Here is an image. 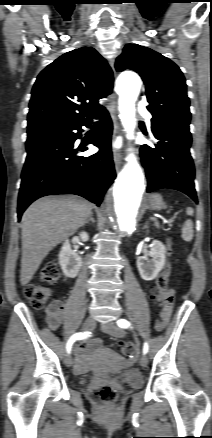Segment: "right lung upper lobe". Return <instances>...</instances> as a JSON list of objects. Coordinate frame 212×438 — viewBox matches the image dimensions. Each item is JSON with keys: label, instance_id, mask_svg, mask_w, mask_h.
Wrapping results in <instances>:
<instances>
[{"label": "right lung upper lobe", "instance_id": "1", "mask_svg": "<svg viewBox=\"0 0 212 438\" xmlns=\"http://www.w3.org/2000/svg\"><path fill=\"white\" fill-rule=\"evenodd\" d=\"M112 88V70L95 49L67 52L38 75L29 104L28 129L53 122L88 121L104 110L98 100Z\"/></svg>", "mask_w": 212, "mask_h": 438}]
</instances>
